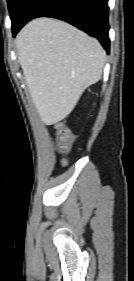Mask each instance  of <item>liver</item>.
Instances as JSON below:
<instances>
[{"label":"liver","instance_id":"1","mask_svg":"<svg viewBox=\"0 0 134 281\" xmlns=\"http://www.w3.org/2000/svg\"><path fill=\"white\" fill-rule=\"evenodd\" d=\"M18 60L45 125L67 117L84 90L99 81L106 53L95 38L50 18L29 22L16 38Z\"/></svg>","mask_w":134,"mask_h":281}]
</instances>
